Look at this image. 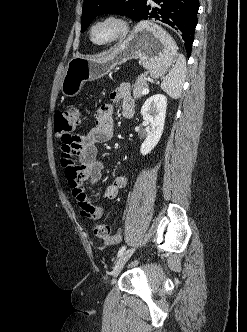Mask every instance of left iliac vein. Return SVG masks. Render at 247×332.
I'll return each instance as SVG.
<instances>
[{"label":"left iliac vein","mask_w":247,"mask_h":332,"mask_svg":"<svg viewBox=\"0 0 247 332\" xmlns=\"http://www.w3.org/2000/svg\"><path fill=\"white\" fill-rule=\"evenodd\" d=\"M135 248H130L127 249L126 251H124L119 259L117 260L114 269H113V276L117 277L118 274L121 272V270L123 269L125 263L129 260V258L132 256V254L134 253Z\"/></svg>","instance_id":"1"}]
</instances>
